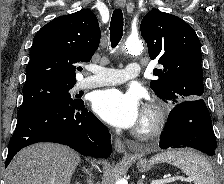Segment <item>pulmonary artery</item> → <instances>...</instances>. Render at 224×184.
I'll return each instance as SVG.
<instances>
[{"label": "pulmonary artery", "instance_id": "pulmonary-artery-1", "mask_svg": "<svg viewBox=\"0 0 224 184\" xmlns=\"http://www.w3.org/2000/svg\"><path fill=\"white\" fill-rule=\"evenodd\" d=\"M89 69L93 75L80 80L79 87L82 89L121 84L138 77L140 73V67L136 62L129 63L125 70L106 68L98 65H92Z\"/></svg>", "mask_w": 224, "mask_h": 184}]
</instances>
